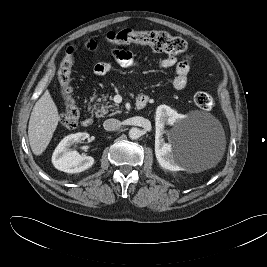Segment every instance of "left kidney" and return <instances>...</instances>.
Wrapping results in <instances>:
<instances>
[{"instance_id":"1","label":"left kidney","mask_w":267,"mask_h":267,"mask_svg":"<svg viewBox=\"0 0 267 267\" xmlns=\"http://www.w3.org/2000/svg\"><path fill=\"white\" fill-rule=\"evenodd\" d=\"M184 118V115L178 114L175 110L167 105H160L156 109L155 126V155L159 165L168 171H180L183 168L176 162L172 154L171 144L164 143L162 135L165 133V123L173 125Z\"/></svg>"}]
</instances>
